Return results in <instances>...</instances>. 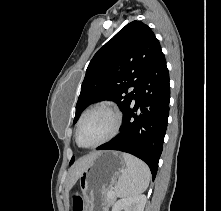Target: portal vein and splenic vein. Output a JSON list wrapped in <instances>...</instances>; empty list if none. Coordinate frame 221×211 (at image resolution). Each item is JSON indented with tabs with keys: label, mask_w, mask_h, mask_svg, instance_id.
I'll return each instance as SVG.
<instances>
[{
	"label": "portal vein and splenic vein",
	"mask_w": 221,
	"mask_h": 211,
	"mask_svg": "<svg viewBox=\"0 0 221 211\" xmlns=\"http://www.w3.org/2000/svg\"><path fill=\"white\" fill-rule=\"evenodd\" d=\"M108 196H110V197H114V196H115V193H114V191L112 190V188H111V190L108 192Z\"/></svg>",
	"instance_id": "obj_1"
}]
</instances>
